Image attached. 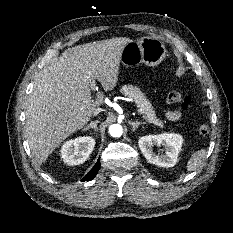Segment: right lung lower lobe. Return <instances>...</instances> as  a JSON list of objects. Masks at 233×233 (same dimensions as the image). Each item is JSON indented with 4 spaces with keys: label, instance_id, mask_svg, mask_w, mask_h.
I'll use <instances>...</instances> for the list:
<instances>
[{
    "label": "right lung lower lobe",
    "instance_id": "obj_1",
    "mask_svg": "<svg viewBox=\"0 0 233 233\" xmlns=\"http://www.w3.org/2000/svg\"><path fill=\"white\" fill-rule=\"evenodd\" d=\"M100 168V161L98 160L95 166L89 171V173L82 179L85 180H92L98 173V170Z\"/></svg>",
    "mask_w": 233,
    "mask_h": 233
}]
</instances>
